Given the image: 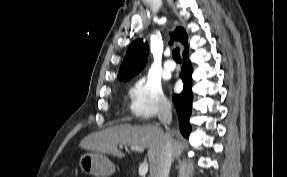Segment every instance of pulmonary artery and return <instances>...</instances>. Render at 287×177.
Wrapping results in <instances>:
<instances>
[{
  "label": "pulmonary artery",
  "mask_w": 287,
  "mask_h": 177,
  "mask_svg": "<svg viewBox=\"0 0 287 177\" xmlns=\"http://www.w3.org/2000/svg\"><path fill=\"white\" fill-rule=\"evenodd\" d=\"M165 55L167 56V57H169L170 56V52H165ZM165 69L167 70V71H174V69H175V67H176V65H175V63L172 61V60H167L166 62H165Z\"/></svg>",
  "instance_id": "obj_1"
}]
</instances>
